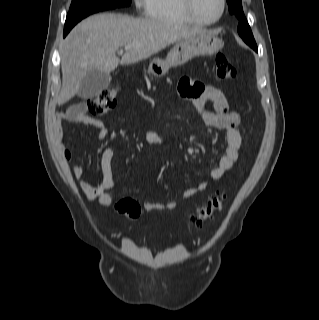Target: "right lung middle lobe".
<instances>
[{
  "mask_svg": "<svg viewBox=\"0 0 319 320\" xmlns=\"http://www.w3.org/2000/svg\"><path fill=\"white\" fill-rule=\"evenodd\" d=\"M130 4L131 0H72L64 30L71 29L90 14Z\"/></svg>",
  "mask_w": 319,
  "mask_h": 320,
  "instance_id": "obj_1",
  "label": "right lung middle lobe"
}]
</instances>
